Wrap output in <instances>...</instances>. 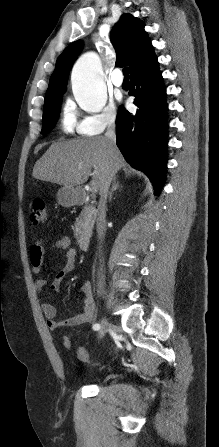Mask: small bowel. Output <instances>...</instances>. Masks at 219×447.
<instances>
[{"instance_id":"small-bowel-1","label":"small bowel","mask_w":219,"mask_h":447,"mask_svg":"<svg viewBox=\"0 0 219 447\" xmlns=\"http://www.w3.org/2000/svg\"><path fill=\"white\" fill-rule=\"evenodd\" d=\"M54 246L59 250L65 251L66 257L65 264L55 272L50 284V289L52 291H57L63 279L74 271L77 252L71 247V239L69 237H62L58 239ZM45 247L46 241L44 239L37 240L31 246L30 262L34 274H41L47 269V265L44 261ZM46 286L47 281L45 279H37L35 281V289L38 293H42ZM78 292L83 296V310L80 314L65 320L56 319L57 311L53 304H42V310L46 317L47 326L50 330H57L61 327H76L92 322L95 314V301L90 283H82L78 289ZM62 341L65 348L71 347V340L68 336H64ZM85 352L86 351L83 348H78L77 357L80 360H86L84 357Z\"/></svg>"}]
</instances>
